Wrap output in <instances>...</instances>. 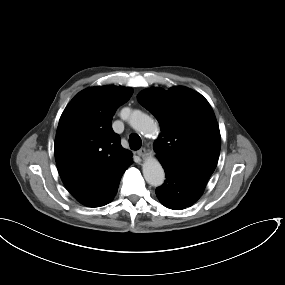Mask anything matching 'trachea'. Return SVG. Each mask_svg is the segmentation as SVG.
<instances>
[{"label":"trachea","instance_id":"trachea-1","mask_svg":"<svg viewBox=\"0 0 285 285\" xmlns=\"http://www.w3.org/2000/svg\"><path fill=\"white\" fill-rule=\"evenodd\" d=\"M142 145V141L139 135L133 133L129 137V146L132 150H138Z\"/></svg>","mask_w":285,"mask_h":285}]
</instances>
